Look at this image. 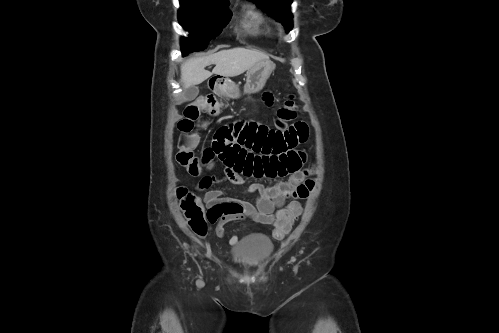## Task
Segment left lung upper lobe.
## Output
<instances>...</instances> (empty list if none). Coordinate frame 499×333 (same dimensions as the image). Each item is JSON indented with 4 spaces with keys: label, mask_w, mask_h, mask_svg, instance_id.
I'll list each match as a JSON object with an SVG mask.
<instances>
[{
    "label": "left lung upper lobe",
    "mask_w": 499,
    "mask_h": 333,
    "mask_svg": "<svg viewBox=\"0 0 499 333\" xmlns=\"http://www.w3.org/2000/svg\"><path fill=\"white\" fill-rule=\"evenodd\" d=\"M259 7L261 6L266 13L281 22L288 33L292 27V14L290 13V5L292 0H251Z\"/></svg>",
    "instance_id": "left-lung-upper-lobe-1"
}]
</instances>
